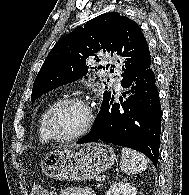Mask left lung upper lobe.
Segmentation results:
<instances>
[{"label": "left lung upper lobe", "instance_id": "1", "mask_svg": "<svg viewBox=\"0 0 189 195\" xmlns=\"http://www.w3.org/2000/svg\"><path fill=\"white\" fill-rule=\"evenodd\" d=\"M106 52L120 58L117 65L123 70L122 82L151 60L147 41L138 24L116 12L104 13L61 38L46 57L35 79L31 100L66 83L88 74V60L95 53ZM109 65L98 69L108 71ZM113 72V69H110ZM111 97L104 92L103 103Z\"/></svg>", "mask_w": 189, "mask_h": 195}]
</instances>
